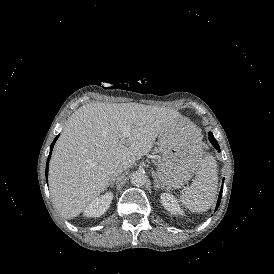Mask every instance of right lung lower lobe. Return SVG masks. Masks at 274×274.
<instances>
[{
  "mask_svg": "<svg viewBox=\"0 0 274 274\" xmlns=\"http://www.w3.org/2000/svg\"><path fill=\"white\" fill-rule=\"evenodd\" d=\"M58 137H59V135L56 136V138L54 139L53 143L51 144V147H50V150H51V151H52L53 146H54V144H55V142H56V140H57ZM51 153H52V152H50V154H49V156H48V159H47V164H46V178H47V176H48V164H49V159H50V157H51Z\"/></svg>",
  "mask_w": 274,
  "mask_h": 274,
  "instance_id": "98d812e1",
  "label": "right lung lower lobe"
}]
</instances>
